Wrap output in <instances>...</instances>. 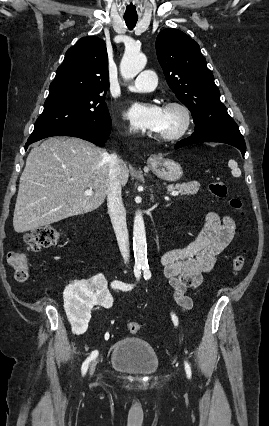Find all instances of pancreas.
Masks as SVG:
<instances>
[{
    "mask_svg": "<svg viewBox=\"0 0 269 426\" xmlns=\"http://www.w3.org/2000/svg\"><path fill=\"white\" fill-rule=\"evenodd\" d=\"M200 183L192 181L183 184H170L167 186L168 191L177 190L181 196L183 195H194L199 191Z\"/></svg>",
    "mask_w": 269,
    "mask_h": 426,
    "instance_id": "pancreas-1",
    "label": "pancreas"
}]
</instances>
